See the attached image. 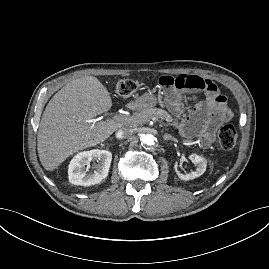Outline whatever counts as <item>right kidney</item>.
<instances>
[{
	"label": "right kidney",
	"instance_id": "ca27d5eb",
	"mask_svg": "<svg viewBox=\"0 0 269 269\" xmlns=\"http://www.w3.org/2000/svg\"><path fill=\"white\" fill-rule=\"evenodd\" d=\"M91 161L94 162L92 173L89 172ZM111 161L112 154L107 150L93 149L80 152L69 164V181L81 186L97 184L107 177Z\"/></svg>",
	"mask_w": 269,
	"mask_h": 269
}]
</instances>
